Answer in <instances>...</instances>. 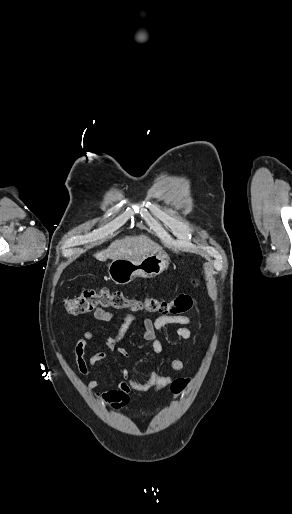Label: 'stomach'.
I'll return each mask as SVG.
<instances>
[{"instance_id":"1","label":"stomach","mask_w":292,"mask_h":514,"mask_svg":"<svg viewBox=\"0 0 292 514\" xmlns=\"http://www.w3.org/2000/svg\"><path fill=\"white\" fill-rule=\"evenodd\" d=\"M169 264L168 254L163 250L149 252L140 258H118L108 266L109 278L115 284H129L134 278H155L164 272Z\"/></svg>"}]
</instances>
